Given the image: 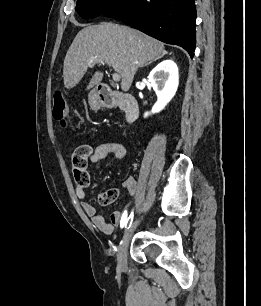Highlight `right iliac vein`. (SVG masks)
Here are the masks:
<instances>
[{
	"mask_svg": "<svg viewBox=\"0 0 261 306\" xmlns=\"http://www.w3.org/2000/svg\"><path fill=\"white\" fill-rule=\"evenodd\" d=\"M138 224H139V219L136 220L132 224V226L125 229V231L123 233L122 241L119 245L117 261H118L119 269H121L123 271H125L127 269V249H128V246H129L131 236H132V234H133V232H134V230H135V228L137 227Z\"/></svg>",
	"mask_w": 261,
	"mask_h": 306,
	"instance_id": "right-iliac-vein-1",
	"label": "right iliac vein"
}]
</instances>
